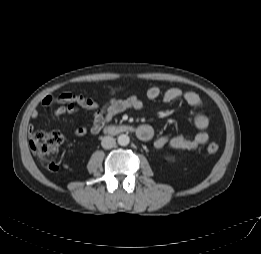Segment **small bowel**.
Returning <instances> with one entry per match:
<instances>
[{
    "instance_id": "obj_1",
    "label": "small bowel",
    "mask_w": 261,
    "mask_h": 254,
    "mask_svg": "<svg viewBox=\"0 0 261 254\" xmlns=\"http://www.w3.org/2000/svg\"><path fill=\"white\" fill-rule=\"evenodd\" d=\"M161 98L165 102L182 100L195 110L194 122L198 129V133L189 138L182 135L169 137L167 135L156 136L150 125H141L137 129V135L144 142H153L158 149L170 147L177 150H197L205 144L210 137V117L201 110L202 101L200 96L193 91H185L181 88L172 87L161 90L157 86L149 87L145 94L146 100H156ZM145 99L130 96L128 98L114 97L109 99L103 105H99L90 98L81 94L65 92L57 96H45L41 104L42 106H56L54 116L60 117L65 114L78 113L81 110L91 112L93 115V124L91 127L81 125L76 128L75 135L82 137L88 132L98 133L104 125L109 123L116 115L127 109L140 110L145 104ZM32 118L39 116V110L34 109L31 113ZM34 131V126H29V132Z\"/></svg>"
}]
</instances>
